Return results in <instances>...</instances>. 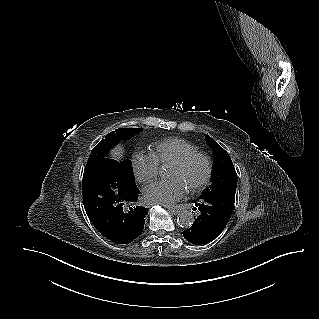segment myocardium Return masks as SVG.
<instances>
[{"label": "myocardium", "instance_id": "f54148a6", "mask_svg": "<svg viewBox=\"0 0 319 319\" xmlns=\"http://www.w3.org/2000/svg\"><path fill=\"white\" fill-rule=\"evenodd\" d=\"M197 158L202 159L204 161L206 171H205V175H204L203 179L198 184L189 188V190L192 192H195V191H198V190L204 188L209 183V181L211 179L213 167H212V162H211L209 156L203 152H200V151H193V152H190V153L183 155L181 158L172 162L169 165V166H175V167H183V166L187 165L188 163H190L192 160L197 159Z\"/></svg>", "mask_w": 319, "mask_h": 319}]
</instances>
